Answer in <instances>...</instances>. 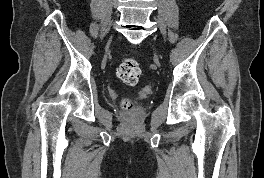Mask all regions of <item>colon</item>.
<instances>
[{
	"instance_id": "obj_1",
	"label": "colon",
	"mask_w": 264,
	"mask_h": 178,
	"mask_svg": "<svg viewBox=\"0 0 264 178\" xmlns=\"http://www.w3.org/2000/svg\"><path fill=\"white\" fill-rule=\"evenodd\" d=\"M117 77L127 85H135L141 76V67L137 61L131 58L124 59L116 69ZM122 107L132 110L133 104L129 100H123Z\"/></svg>"
}]
</instances>
